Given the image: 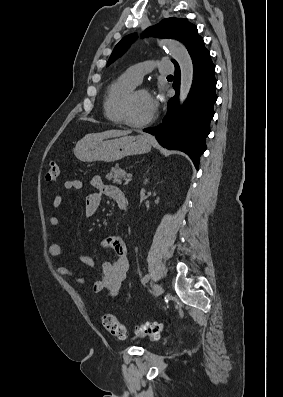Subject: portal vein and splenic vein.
<instances>
[{"label":"portal vein and splenic vein","instance_id":"obj_1","mask_svg":"<svg viewBox=\"0 0 283 397\" xmlns=\"http://www.w3.org/2000/svg\"><path fill=\"white\" fill-rule=\"evenodd\" d=\"M128 178H132V174L131 173H127L126 174Z\"/></svg>","mask_w":283,"mask_h":397}]
</instances>
